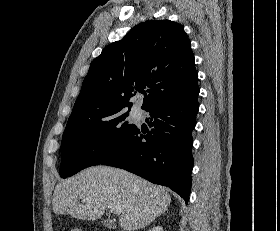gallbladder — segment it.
<instances>
[{"label":"gallbladder","mask_w":280,"mask_h":231,"mask_svg":"<svg viewBox=\"0 0 280 231\" xmlns=\"http://www.w3.org/2000/svg\"><path fill=\"white\" fill-rule=\"evenodd\" d=\"M102 223L105 227H109V229H114V227H116V221H114V219H103Z\"/></svg>","instance_id":"obj_1"}]
</instances>
